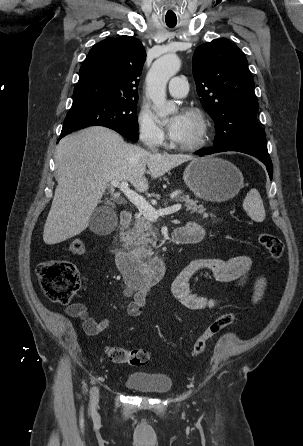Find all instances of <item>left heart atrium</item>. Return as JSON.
<instances>
[{"instance_id":"left-heart-atrium-1","label":"left heart atrium","mask_w":303,"mask_h":446,"mask_svg":"<svg viewBox=\"0 0 303 446\" xmlns=\"http://www.w3.org/2000/svg\"><path fill=\"white\" fill-rule=\"evenodd\" d=\"M184 126H185V115L178 114L174 116L170 120L167 127L169 136L175 141L178 140L183 133Z\"/></svg>"}]
</instances>
